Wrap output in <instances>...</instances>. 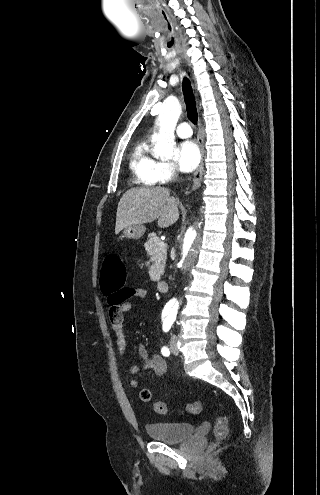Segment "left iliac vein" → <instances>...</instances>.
Wrapping results in <instances>:
<instances>
[{"label": "left iliac vein", "instance_id": "1", "mask_svg": "<svg viewBox=\"0 0 320 495\" xmlns=\"http://www.w3.org/2000/svg\"><path fill=\"white\" fill-rule=\"evenodd\" d=\"M170 350L174 355L179 354V349L177 347V338L176 336H172L170 339Z\"/></svg>", "mask_w": 320, "mask_h": 495}]
</instances>
